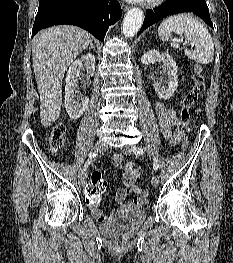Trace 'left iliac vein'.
Listing matches in <instances>:
<instances>
[{
  "mask_svg": "<svg viewBox=\"0 0 233 263\" xmlns=\"http://www.w3.org/2000/svg\"><path fill=\"white\" fill-rule=\"evenodd\" d=\"M121 152L125 155H130L133 152V148L132 146L127 145L121 148ZM151 183L153 187H157L159 185V175L155 174L152 177Z\"/></svg>",
  "mask_w": 233,
  "mask_h": 263,
  "instance_id": "1",
  "label": "left iliac vein"
}]
</instances>
